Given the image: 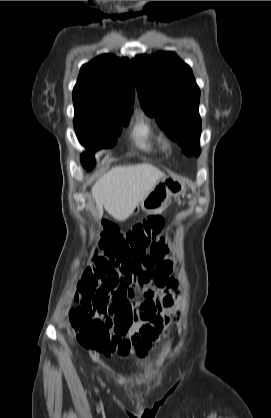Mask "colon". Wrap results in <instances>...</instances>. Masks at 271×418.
Listing matches in <instances>:
<instances>
[{"label":"colon","mask_w":271,"mask_h":418,"mask_svg":"<svg viewBox=\"0 0 271 418\" xmlns=\"http://www.w3.org/2000/svg\"><path fill=\"white\" fill-rule=\"evenodd\" d=\"M162 227L163 219L158 216L148 217L124 233L117 227L106 224L100 246L108 259L118 263L138 260L144 255H149V248L155 243ZM96 295L97 291L78 294L76 299L81 302L85 299L93 300L91 305H97ZM137 314L143 313L138 311ZM96 316L97 314L90 313V308L84 309L80 306L71 310L70 322L81 345L99 350L110 342L111 336L105 323H97Z\"/></svg>","instance_id":"5ec220e1"}]
</instances>
